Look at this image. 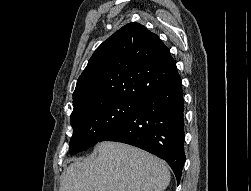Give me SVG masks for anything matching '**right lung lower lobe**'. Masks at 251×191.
Segmentation results:
<instances>
[{"mask_svg": "<svg viewBox=\"0 0 251 191\" xmlns=\"http://www.w3.org/2000/svg\"><path fill=\"white\" fill-rule=\"evenodd\" d=\"M184 99L181 78L139 102L138 108L100 141L144 149L172 168L179 184L185 162Z\"/></svg>", "mask_w": 251, "mask_h": 191, "instance_id": "98d812e1", "label": "right lung lower lobe"}]
</instances>
